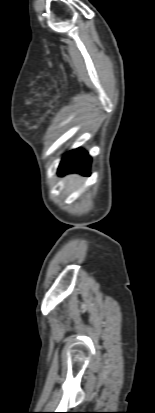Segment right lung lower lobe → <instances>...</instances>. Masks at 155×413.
I'll return each mask as SVG.
<instances>
[{
    "instance_id": "1",
    "label": "right lung lower lobe",
    "mask_w": 155,
    "mask_h": 413,
    "mask_svg": "<svg viewBox=\"0 0 155 413\" xmlns=\"http://www.w3.org/2000/svg\"><path fill=\"white\" fill-rule=\"evenodd\" d=\"M91 157L81 149L72 150L64 155L58 173L60 175L76 172L84 175L90 174Z\"/></svg>"
}]
</instances>
